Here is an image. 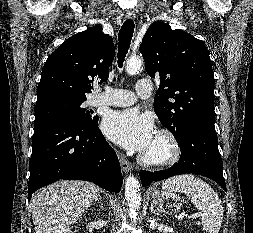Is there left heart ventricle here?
Instances as JSON below:
<instances>
[{"label": "left heart ventricle", "instance_id": "b2bd125f", "mask_svg": "<svg viewBox=\"0 0 253 233\" xmlns=\"http://www.w3.org/2000/svg\"><path fill=\"white\" fill-rule=\"evenodd\" d=\"M161 151H163V144L156 137H154L151 145L145 152L159 153Z\"/></svg>", "mask_w": 253, "mask_h": 233}]
</instances>
